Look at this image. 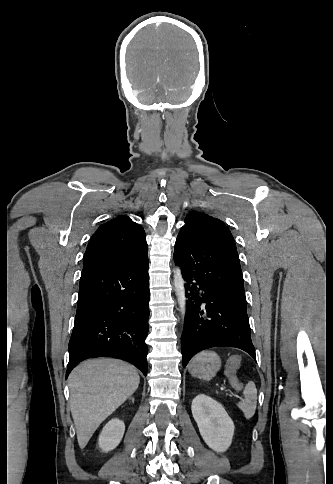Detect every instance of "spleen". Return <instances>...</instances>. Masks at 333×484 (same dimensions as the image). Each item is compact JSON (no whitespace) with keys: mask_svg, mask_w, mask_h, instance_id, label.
<instances>
[{"mask_svg":"<svg viewBox=\"0 0 333 484\" xmlns=\"http://www.w3.org/2000/svg\"><path fill=\"white\" fill-rule=\"evenodd\" d=\"M237 381L234 379L232 385H236ZM244 399L237 403V407L243 412L246 419L253 417L256 411L257 404V389L252 381H249L243 391Z\"/></svg>","mask_w":333,"mask_h":484,"instance_id":"spleen-1","label":"spleen"}]
</instances>
